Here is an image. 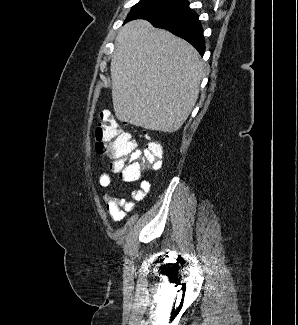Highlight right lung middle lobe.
<instances>
[{"mask_svg": "<svg viewBox=\"0 0 298 325\" xmlns=\"http://www.w3.org/2000/svg\"><path fill=\"white\" fill-rule=\"evenodd\" d=\"M186 6L187 0H141L132 7L126 20L151 19L173 13Z\"/></svg>", "mask_w": 298, "mask_h": 325, "instance_id": "1", "label": "right lung middle lobe"}]
</instances>
